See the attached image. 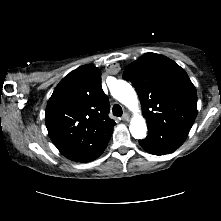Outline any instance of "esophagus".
Wrapping results in <instances>:
<instances>
[{
    "label": "esophagus",
    "mask_w": 221,
    "mask_h": 221,
    "mask_svg": "<svg viewBox=\"0 0 221 221\" xmlns=\"http://www.w3.org/2000/svg\"><path fill=\"white\" fill-rule=\"evenodd\" d=\"M130 117L127 113H124L123 116H122V120L124 121H129Z\"/></svg>",
    "instance_id": "1"
}]
</instances>
